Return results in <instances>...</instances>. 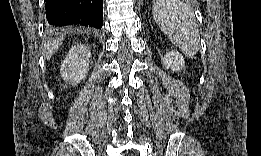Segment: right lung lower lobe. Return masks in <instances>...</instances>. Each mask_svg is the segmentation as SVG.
Masks as SVG:
<instances>
[{
    "label": "right lung lower lobe",
    "mask_w": 261,
    "mask_h": 156,
    "mask_svg": "<svg viewBox=\"0 0 261 156\" xmlns=\"http://www.w3.org/2000/svg\"><path fill=\"white\" fill-rule=\"evenodd\" d=\"M48 27L103 25V0H46Z\"/></svg>",
    "instance_id": "right-lung-lower-lobe-1"
}]
</instances>
